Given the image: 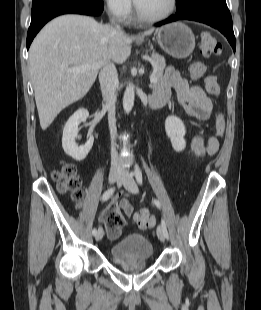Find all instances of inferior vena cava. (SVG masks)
Returning a JSON list of instances; mask_svg holds the SVG:
<instances>
[{
    "instance_id": "602c4592",
    "label": "inferior vena cava",
    "mask_w": 261,
    "mask_h": 310,
    "mask_svg": "<svg viewBox=\"0 0 261 310\" xmlns=\"http://www.w3.org/2000/svg\"><path fill=\"white\" fill-rule=\"evenodd\" d=\"M113 22V21H112ZM118 30L120 26H116ZM99 81L105 107L108 110V124L111 134V165L117 167L119 165V158L116 151L115 137H116V119H115V103H116V89L119 85L117 71L115 65L111 62L106 63L99 73Z\"/></svg>"
}]
</instances>
